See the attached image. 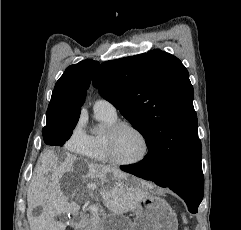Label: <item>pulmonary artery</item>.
<instances>
[{
  "mask_svg": "<svg viewBox=\"0 0 241 230\" xmlns=\"http://www.w3.org/2000/svg\"><path fill=\"white\" fill-rule=\"evenodd\" d=\"M95 113H102L107 114L112 117L117 116L116 108L115 106L105 99H98L93 106Z\"/></svg>",
  "mask_w": 241,
  "mask_h": 230,
  "instance_id": "pulmonary-artery-1",
  "label": "pulmonary artery"
}]
</instances>
